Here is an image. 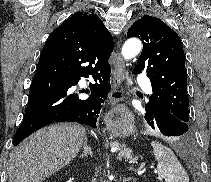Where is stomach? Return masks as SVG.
<instances>
[{
    "label": "stomach",
    "mask_w": 211,
    "mask_h": 182,
    "mask_svg": "<svg viewBox=\"0 0 211 182\" xmlns=\"http://www.w3.org/2000/svg\"><path fill=\"white\" fill-rule=\"evenodd\" d=\"M115 135H116V136H121V134H120V133H117V132H115Z\"/></svg>",
    "instance_id": "obj_1"
}]
</instances>
